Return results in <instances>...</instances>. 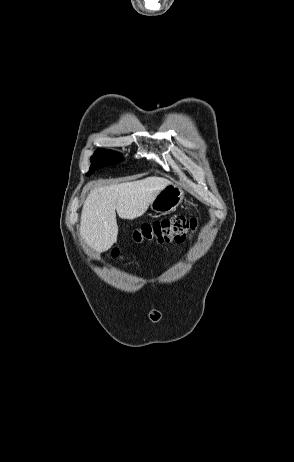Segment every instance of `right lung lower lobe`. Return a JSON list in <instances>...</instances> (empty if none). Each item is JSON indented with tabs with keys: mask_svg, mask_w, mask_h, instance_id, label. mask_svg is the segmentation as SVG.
Listing matches in <instances>:
<instances>
[{
	"mask_svg": "<svg viewBox=\"0 0 294 462\" xmlns=\"http://www.w3.org/2000/svg\"><path fill=\"white\" fill-rule=\"evenodd\" d=\"M116 163H118V162H114L108 157L92 156L91 157V169H90L89 173H87V175H90L95 170H98L101 167H105V166H108V165H114Z\"/></svg>",
	"mask_w": 294,
	"mask_h": 462,
	"instance_id": "1",
	"label": "right lung lower lobe"
}]
</instances>
